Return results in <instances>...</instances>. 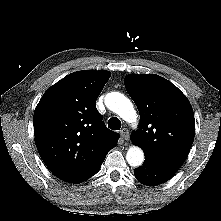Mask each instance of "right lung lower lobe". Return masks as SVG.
Masks as SVG:
<instances>
[{
  "instance_id": "98d812e1",
  "label": "right lung lower lobe",
  "mask_w": 221,
  "mask_h": 221,
  "mask_svg": "<svg viewBox=\"0 0 221 221\" xmlns=\"http://www.w3.org/2000/svg\"><path fill=\"white\" fill-rule=\"evenodd\" d=\"M105 159V158H104ZM104 159H102L95 167H93L86 175H84L83 177H81L79 180H77V182H75V184L77 183H81L87 179H89L90 177H92L93 175H95L100 167H101V164L102 162L104 161Z\"/></svg>"
}]
</instances>
